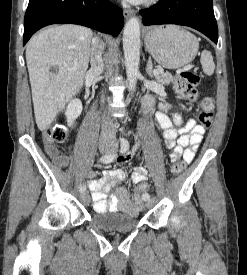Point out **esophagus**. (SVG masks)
<instances>
[{
  "label": "esophagus",
  "instance_id": "esophagus-1",
  "mask_svg": "<svg viewBox=\"0 0 247 275\" xmlns=\"http://www.w3.org/2000/svg\"><path fill=\"white\" fill-rule=\"evenodd\" d=\"M123 13H124L125 18H130L131 16L134 15L135 12L132 9H125L123 11Z\"/></svg>",
  "mask_w": 247,
  "mask_h": 275
}]
</instances>
